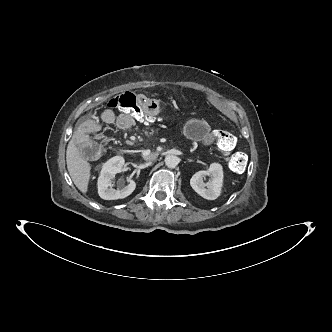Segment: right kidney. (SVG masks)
I'll use <instances>...</instances> for the list:
<instances>
[{
  "label": "right kidney",
  "mask_w": 332,
  "mask_h": 332,
  "mask_svg": "<svg viewBox=\"0 0 332 332\" xmlns=\"http://www.w3.org/2000/svg\"><path fill=\"white\" fill-rule=\"evenodd\" d=\"M125 160L121 156H115L104 163L98 178V194L104 200L122 199L135 190L136 183L132 179H127L130 183L122 189H113L111 179L121 172Z\"/></svg>",
  "instance_id": "ca27d5eb"
}]
</instances>
